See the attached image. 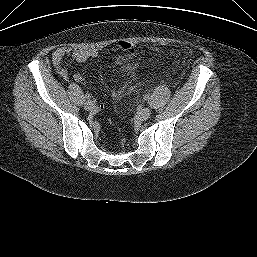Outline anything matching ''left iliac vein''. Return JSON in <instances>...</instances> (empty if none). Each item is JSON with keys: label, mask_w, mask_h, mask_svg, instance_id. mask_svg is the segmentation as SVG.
<instances>
[{"label": "left iliac vein", "mask_w": 257, "mask_h": 257, "mask_svg": "<svg viewBox=\"0 0 257 257\" xmlns=\"http://www.w3.org/2000/svg\"><path fill=\"white\" fill-rule=\"evenodd\" d=\"M151 116V110L149 108H143L139 111L138 117L140 120H147Z\"/></svg>", "instance_id": "obj_1"}]
</instances>
